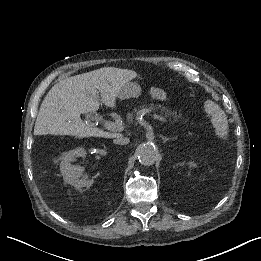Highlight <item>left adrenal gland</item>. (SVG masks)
Masks as SVG:
<instances>
[{"label":"left adrenal gland","instance_id":"obj_1","mask_svg":"<svg viewBox=\"0 0 261 261\" xmlns=\"http://www.w3.org/2000/svg\"><path fill=\"white\" fill-rule=\"evenodd\" d=\"M159 138H162V139L164 140V143L170 141L167 137H165V136H163V135H159Z\"/></svg>","mask_w":261,"mask_h":261}]
</instances>
